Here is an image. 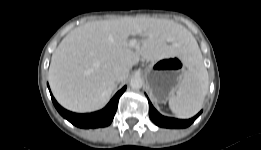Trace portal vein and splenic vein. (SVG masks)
Listing matches in <instances>:
<instances>
[{
    "label": "portal vein and splenic vein",
    "instance_id": "1",
    "mask_svg": "<svg viewBox=\"0 0 261 150\" xmlns=\"http://www.w3.org/2000/svg\"><path fill=\"white\" fill-rule=\"evenodd\" d=\"M130 45H131L132 47H137V40H136V39L130 40Z\"/></svg>",
    "mask_w": 261,
    "mask_h": 150
}]
</instances>
